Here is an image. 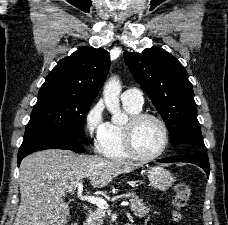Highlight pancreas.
Here are the masks:
<instances>
[{"label":"pancreas","mask_w":228,"mask_h":225,"mask_svg":"<svg viewBox=\"0 0 228 225\" xmlns=\"http://www.w3.org/2000/svg\"><path fill=\"white\" fill-rule=\"evenodd\" d=\"M131 203V211H133V215L135 217H146L147 213H149V207H144L143 199H139L136 193H127ZM103 217H105V213L103 209H96V211H90L87 219H85V223L83 225H103Z\"/></svg>","instance_id":"pancreas-1"}]
</instances>
